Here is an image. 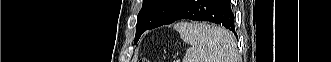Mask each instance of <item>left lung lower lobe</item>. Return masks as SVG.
Wrapping results in <instances>:
<instances>
[{
	"label": "left lung lower lobe",
	"instance_id": "0a47b994",
	"mask_svg": "<svg viewBox=\"0 0 331 62\" xmlns=\"http://www.w3.org/2000/svg\"><path fill=\"white\" fill-rule=\"evenodd\" d=\"M180 19L214 22L227 27L237 36L230 0H184L163 25L171 24ZM148 29V26L139 27L135 35V43L141 34Z\"/></svg>",
	"mask_w": 331,
	"mask_h": 62
}]
</instances>
